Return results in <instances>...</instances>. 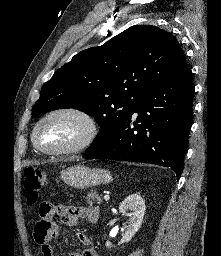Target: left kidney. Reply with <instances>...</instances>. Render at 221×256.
Instances as JSON below:
<instances>
[{"instance_id": "left-kidney-1", "label": "left kidney", "mask_w": 221, "mask_h": 256, "mask_svg": "<svg viewBox=\"0 0 221 256\" xmlns=\"http://www.w3.org/2000/svg\"><path fill=\"white\" fill-rule=\"evenodd\" d=\"M128 210H130V213H127ZM119 211L129 216L128 226L122 240L119 242L120 245L129 242L140 229L145 212V201L139 194H131L120 204ZM106 246L111 247L112 245L108 241Z\"/></svg>"}]
</instances>
